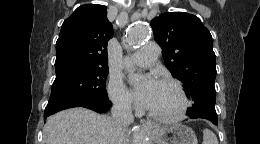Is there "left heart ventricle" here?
Instances as JSON below:
<instances>
[{"label":"left heart ventricle","mask_w":260,"mask_h":144,"mask_svg":"<svg viewBox=\"0 0 260 144\" xmlns=\"http://www.w3.org/2000/svg\"><path fill=\"white\" fill-rule=\"evenodd\" d=\"M181 104V99L172 86L158 82L148 108L161 114H174L180 109Z\"/></svg>","instance_id":"b2bd125f"}]
</instances>
